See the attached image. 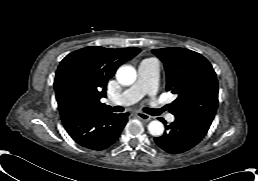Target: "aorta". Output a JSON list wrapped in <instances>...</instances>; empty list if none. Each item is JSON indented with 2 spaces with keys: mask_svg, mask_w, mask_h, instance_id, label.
Listing matches in <instances>:
<instances>
[{
  "mask_svg": "<svg viewBox=\"0 0 258 181\" xmlns=\"http://www.w3.org/2000/svg\"><path fill=\"white\" fill-rule=\"evenodd\" d=\"M116 78L120 84L128 86L136 81L137 73L132 66L123 65L117 70ZM148 131L153 136H161L164 126L160 121L154 120L148 124Z\"/></svg>",
  "mask_w": 258,
  "mask_h": 181,
  "instance_id": "aorta-1",
  "label": "aorta"
}]
</instances>
